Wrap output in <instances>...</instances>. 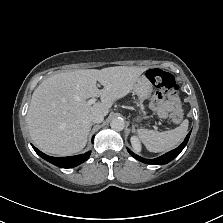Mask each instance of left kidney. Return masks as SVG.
Segmentation results:
<instances>
[{"mask_svg":"<svg viewBox=\"0 0 223 223\" xmlns=\"http://www.w3.org/2000/svg\"><path fill=\"white\" fill-rule=\"evenodd\" d=\"M131 144L135 151H137V152L141 151V144H140L139 138L137 136L131 137Z\"/></svg>","mask_w":223,"mask_h":223,"instance_id":"left-kidney-1","label":"left kidney"}]
</instances>
